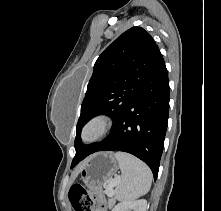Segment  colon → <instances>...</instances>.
Here are the masks:
<instances>
[{
  "label": "colon",
  "instance_id": "colon-1",
  "mask_svg": "<svg viewBox=\"0 0 221 211\" xmlns=\"http://www.w3.org/2000/svg\"><path fill=\"white\" fill-rule=\"evenodd\" d=\"M68 197L74 211H93V198L81 184H74Z\"/></svg>",
  "mask_w": 221,
  "mask_h": 211
}]
</instances>
